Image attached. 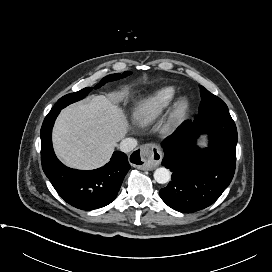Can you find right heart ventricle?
I'll return each mask as SVG.
<instances>
[{"label":"right heart ventricle","mask_w":272,"mask_h":272,"mask_svg":"<svg viewBox=\"0 0 272 272\" xmlns=\"http://www.w3.org/2000/svg\"><path fill=\"white\" fill-rule=\"evenodd\" d=\"M175 96L176 89L172 86L155 90L143 98L133 109L134 121L141 126L150 124L172 103Z\"/></svg>","instance_id":"right-heart-ventricle-1"}]
</instances>
